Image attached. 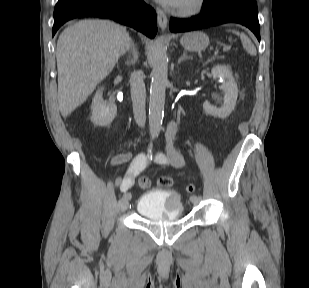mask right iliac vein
I'll use <instances>...</instances> for the list:
<instances>
[{
  "label": "right iliac vein",
  "instance_id": "obj_1",
  "mask_svg": "<svg viewBox=\"0 0 309 288\" xmlns=\"http://www.w3.org/2000/svg\"><path fill=\"white\" fill-rule=\"evenodd\" d=\"M130 199H125L124 197L119 200V208L121 211H125L128 207Z\"/></svg>",
  "mask_w": 309,
  "mask_h": 288
}]
</instances>
